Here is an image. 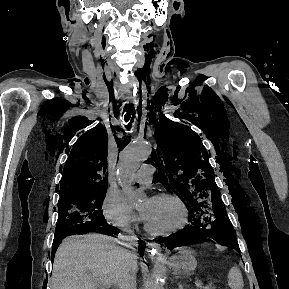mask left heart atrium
Masks as SVG:
<instances>
[{"label":"left heart atrium","mask_w":289,"mask_h":289,"mask_svg":"<svg viewBox=\"0 0 289 289\" xmlns=\"http://www.w3.org/2000/svg\"><path fill=\"white\" fill-rule=\"evenodd\" d=\"M151 201H152V199H149V202H151ZM148 207H149V206H147V208L144 209V210H142L141 213H140V218L143 219V220H145V219L147 218V215H148Z\"/></svg>","instance_id":"left-heart-atrium-1"}]
</instances>
